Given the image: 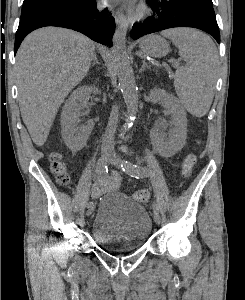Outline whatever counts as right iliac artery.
Returning <instances> with one entry per match:
<instances>
[{
  "label": "right iliac artery",
  "instance_id": "1",
  "mask_svg": "<svg viewBox=\"0 0 245 300\" xmlns=\"http://www.w3.org/2000/svg\"><path fill=\"white\" fill-rule=\"evenodd\" d=\"M107 174H108L107 163L102 158L97 163V166H96V175H97L98 179L103 180V179H105L107 177ZM88 204L90 206H92L94 203L92 201H90Z\"/></svg>",
  "mask_w": 245,
  "mask_h": 300
}]
</instances>
